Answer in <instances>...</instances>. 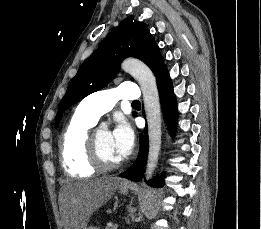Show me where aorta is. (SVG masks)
<instances>
[{
	"label": "aorta",
	"instance_id": "obj_1",
	"mask_svg": "<svg viewBox=\"0 0 261 229\" xmlns=\"http://www.w3.org/2000/svg\"><path fill=\"white\" fill-rule=\"evenodd\" d=\"M121 66L125 72H129L131 76L136 78L143 92L149 139L146 179L149 181L157 167L162 145V117L158 88L152 70L142 60L125 58ZM100 129L101 131L106 129L104 123H102ZM100 135H106V133L98 131L96 137H100Z\"/></svg>",
	"mask_w": 261,
	"mask_h": 229
}]
</instances>
